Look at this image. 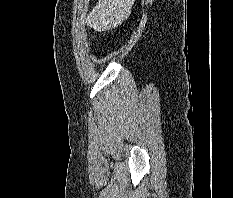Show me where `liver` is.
Wrapping results in <instances>:
<instances>
[{
	"instance_id": "obj_1",
	"label": "liver",
	"mask_w": 233,
	"mask_h": 198,
	"mask_svg": "<svg viewBox=\"0 0 233 198\" xmlns=\"http://www.w3.org/2000/svg\"><path fill=\"white\" fill-rule=\"evenodd\" d=\"M135 0H98L86 17L89 27L98 32L119 26L128 19Z\"/></svg>"
}]
</instances>
